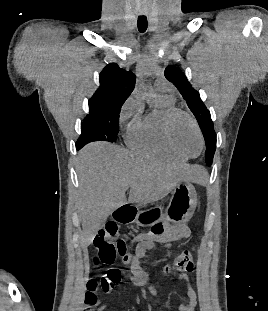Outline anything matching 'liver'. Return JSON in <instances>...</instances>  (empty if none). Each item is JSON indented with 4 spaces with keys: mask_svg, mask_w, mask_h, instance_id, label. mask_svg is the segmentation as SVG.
Returning <instances> with one entry per match:
<instances>
[{
    "mask_svg": "<svg viewBox=\"0 0 268 311\" xmlns=\"http://www.w3.org/2000/svg\"><path fill=\"white\" fill-rule=\"evenodd\" d=\"M204 170L132 153L107 142H93L77 157L82 246L93 241L113 210L128 203L147 204L166 197L183 181H195ZM130 188L128 200L126 191Z\"/></svg>",
    "mask_w": 268,
    "mask_h": 311,
    "instance_id": "liver-1",
    "label": "liver"
}]
</instances>
